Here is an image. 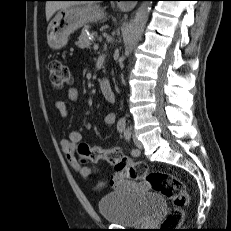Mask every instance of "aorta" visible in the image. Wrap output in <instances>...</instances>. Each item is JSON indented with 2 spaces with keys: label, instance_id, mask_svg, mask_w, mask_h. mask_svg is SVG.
<instances>
[{
  "label": "aorta",
  "instance_id": "762f6f07",
  "mask_svg": "<svg viewBox=\"0 0 231 231\" xmlns=\"http://www.w3.org/2000/svg\"><path fill=\"white\" fill-rule=\"evenodd\" d=\"M151 2H143L138 8L129 28L127 50H131L141 38L150 12Z\"/></svg>",
  "mask_w": 231,
  "mask_h": 231
}]
</instances>
